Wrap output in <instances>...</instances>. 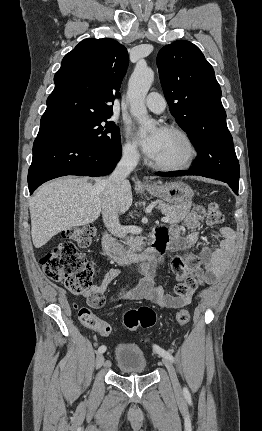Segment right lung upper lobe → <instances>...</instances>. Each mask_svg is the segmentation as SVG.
Masks as SVG:
<instances>
[{
	"label": "right lung upper lobe",
	"instance_id": "right-lung-upper-lobe-1",
	"mask_svg": "<svg viewBox=\"0 0 262 431\" xmlns=\"http://www.w3.org/2000/svg\"><path fill=\"white\" fill-rule=\"evenodd\" d=\"M128 53L119 42L104 38L81 41L65 55L54 76L40 126L113 114L114 100L128 67Z\"/></svg>",
	"mask_w": 262,
	"mask_h": 431
}]
</instances>
